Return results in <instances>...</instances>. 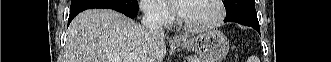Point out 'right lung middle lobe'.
Wrapping results in <instances>:
<instances>
[{"instance_id":"1","label":"right lung middle lobe","mask_w":331,"mask_h":62,"mask_svg":"<svg viewBox=\"0 0 331 62\" xmlns=\"http://www.w3.org/2000/svg\"><path fill=\"white\" fill-rule=\"evenodd\" d=\"M87 2H105L115 4L132 11H138L139 6L137 0H71V7L87 3Z\"/></svg>"}]
</instances>
